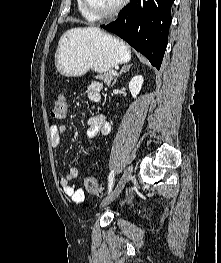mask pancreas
<instances>
[{"label": "pancreas", "instance_id": "obj_1", "mask_svg": "<svg viewBox=\"0 0 221 263\" xmlns=\"http://www.w3.org/2000/svg\"><path fill=\"white\" fill-rule=\"evenodd\" d=\"M112 70L108 71L106 73H102L99 75H96L95 78L98 80H102L107 86H110L112 80H113V75H112Z\"/></svg>", "mask_w": 221, "mask_h": 263}]
</instances>
